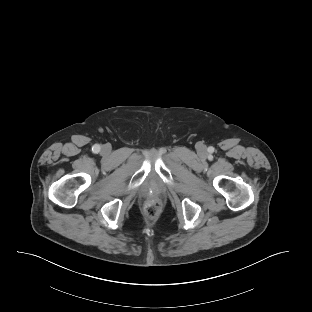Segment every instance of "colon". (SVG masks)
<instances>
[{"label": "colon", "instance_id": "obj_1", "mask_svg": "<svg viewBox=\"0 0 312 312\" xmlns=\"http://www.w3.org/2000/svg\"><path fill=\"white\" fill-rule=\"evenodd\" d=\"M159 208L160 205L157 202H149L145 206V213L149 217H154L157 214Z\"/></svg>", "mask_w": 312, "mask_h": 312}]
</instances>
